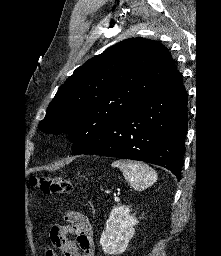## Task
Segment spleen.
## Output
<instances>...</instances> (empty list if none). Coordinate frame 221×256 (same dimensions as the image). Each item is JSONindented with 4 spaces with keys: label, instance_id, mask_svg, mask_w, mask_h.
<instances>
[{
    "label": "spleen",
    "instance_id": "1",
    "mask_svg": "<svg viewBox=\"0 0 221 256\" xmlns=\"http://www.w3.org/2000/svg\"><path fill=\"white\" fill-rule=\"evenodd\" d=\"M112 166L122 171L124 178L135 191H142L157 181L156 172L144 163L116 160L112 163Z\"/></svg>",
    "mask_w": 221,
    "mask_h": 256
}]
</instances>
